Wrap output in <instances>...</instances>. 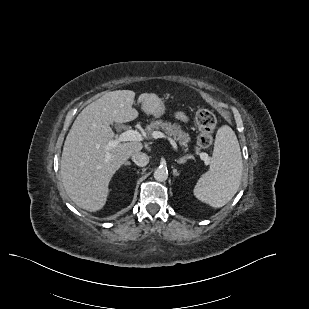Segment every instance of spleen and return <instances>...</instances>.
I'll use <instances>...</instances> for the list:
<instances>
[{
	"label": "spleen",
	"mask_w": 309,
	"mask_h": 309,
	"mask_svg": "<svg viewBox=\"0 0 309 309\" xmlns=\"http://www.w3.org/2000/svg\"><path fill=\"white\" fill-rule=\"evenodd\" d=\"M242 173V156L236 134L224 125L216 134L209 171L199 178L193 193L211 207H223L239 190Z\"/></svg>",
	"instance_id": "obj_1"
}]
</instances>
